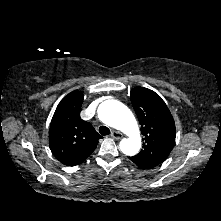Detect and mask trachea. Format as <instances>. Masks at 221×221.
<instances>
[{"instance_id": "3493384b", "label": "trachea", "mask_w": 221, "mask_h": 221, "mask_svg": "<svg viewBox=\"0 0 221 221\" xmlns=\"http://www.w3.org/2000/svg\"><path fill=\"white\" fill-rule=\"evenodd\" d=\"M99 132H100V134L103 135V136L110 134V130H109V128L106 127V126H101V127L99 128Z\"/></svg>"}]
</instances>
